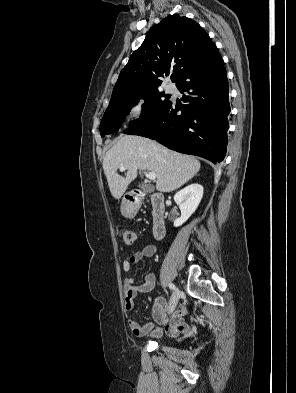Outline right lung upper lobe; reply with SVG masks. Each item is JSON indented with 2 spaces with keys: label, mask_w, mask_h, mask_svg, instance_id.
<instances>
[{
  "label": "right lung upper lobe",
  "mask_w": 296,
  "mask_h": 393,
  "mask_svg": "<svg viewBox=\"0 0 296 393\" xmlns=\"http://www.w3.org/2000/svg\"><path fill=\"white\" fill-rule=\"evenodd\" d=\"M214 43L200 25L187 17L169 15L150 28L121 70L110 101L126 99L157 88L161 78L176 82Z\"/></svg>",
  "instance_id": "cb5924a9"
}]
</instances>
